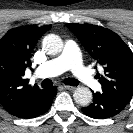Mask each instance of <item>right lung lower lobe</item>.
<instances>
[{
    "instance_id": "right-lung-lower-lobe-1",
    "label": "right lung lower lobe",
    "mask_w": 133,
    "mask_h": 133,
    "mask_svg": "<svg viewBox=\"0 0 133 133\" xmlns=\"http://www.w3.org/2000/svg\"><path fill=\"white\" fill-rule=\"evenodd\" d=\"M56 93L57 89L55 87L45 89V92L41 96H39L34 102L32 109L24 114L17 115V117L28 119L38 117L46 113L49 110Z\"/></svg>"
}]
</instances>
